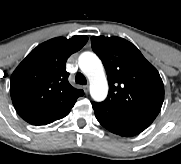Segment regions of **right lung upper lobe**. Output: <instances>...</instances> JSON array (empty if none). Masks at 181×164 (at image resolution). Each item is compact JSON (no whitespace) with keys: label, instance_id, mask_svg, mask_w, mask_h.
I'll return each instance as SVG.
<instances>
[{"label":"right lung upper lobe","instance_id":"cb5924a9","mask_svg":"<svg viewBox=\"0 0 181 164\" xmlns=\"http://www.w3.org/2000/svg\"><path fill=\"white\" fill-rule=\"evenodd\" d=\"M88 41L75 35L48 40L18 65L11 76L10 95L17 113L32 125H46L68 115L84 92L68 82L67 59Z\"/></svg>","mask_w":181,"mask_h":164}]
</instances>
